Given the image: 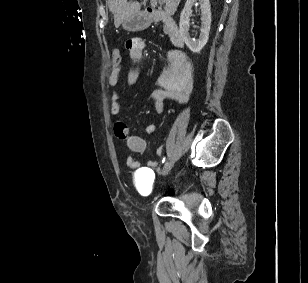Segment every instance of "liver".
Segmentation results:
<instances>
[{"mask_svg":"<svg viewBox=\"0 0 308 283\" xmlns=\"http://www.w3.org/2000/svg\"><path fill=\"white\" fill-rule=\"evenodd\" d=\"M181 0H162L165 3V12L173 15L177 10ZM147 0H143L140 4L138 2H127V0H107L109 10L114 16V25L118 28L122 22L140 12L141 5H146Z\"/></svg>","mask_w":308,"mask_h":283,"instance_id":"liver-1","label":"liver"}]
</instances>
